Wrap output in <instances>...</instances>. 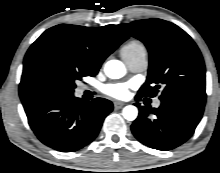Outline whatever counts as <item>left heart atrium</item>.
I'll use <instances>...</instances> for the list:
<instances>
[{
  "instance_id": "left-heart-atrium-1",
  "label": "left heart atrium",
  "mask_w": 220,
  "mask_h": 173,
  "mask_svg": "<svg viewBox=\"0 0 220 173\" xmlns=\"http://www.w3.org/2000/svg\"><path fill=\"white\" fill-rule=\"evenodd\" d=\"M130 88L131 85L129 83H114L105 86L104 93L116 99H124L129 96Z\"/></svg>"
}]
</instances>
